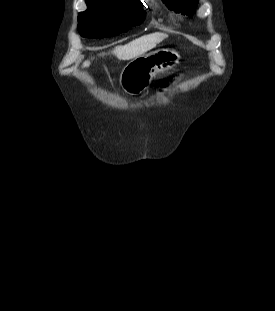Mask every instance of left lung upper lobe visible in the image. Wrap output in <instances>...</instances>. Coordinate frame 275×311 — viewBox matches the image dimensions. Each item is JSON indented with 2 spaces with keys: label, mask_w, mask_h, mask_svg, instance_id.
Listing matches in <instances>:
<instances>
[{
  "label": "left lung upper lobe",
  "mask_w": 275,
  "mask_h": 311,
  "mask_svg": "<svg viewBox=\"0 0 275 311\" xmlns=\"http://www.w3.org/2000/svg\"><path fill=\"white\" fill-rule=\"evenodd\" d=\"M166 6L177 12L192 16L198 0H162Z\"/></svg>",
  "instance_id": "1"
}]
</instances>
